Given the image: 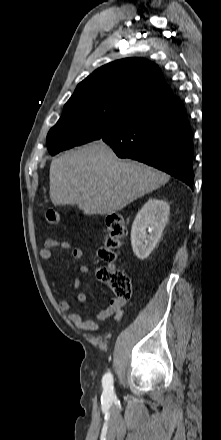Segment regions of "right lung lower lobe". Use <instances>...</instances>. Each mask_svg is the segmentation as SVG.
Segmentation results:
<instances>
[{
	"label": "right lung lower lobe",
	"mask_w": 221,
	"mask_h": 440,
	"mask_svg": "<svg viewBox=\"0 0 221 440\" xmlns=\"http://www.w3.org/2000/svg\"><path fill=\"white\" fill-rule=\"evenodd\" d=\"M120 158L138 160L193 186L191 130L173 94L135 110L100 138Z\"/></svg>",
	"instance_id": "1"
}]
</instances>
